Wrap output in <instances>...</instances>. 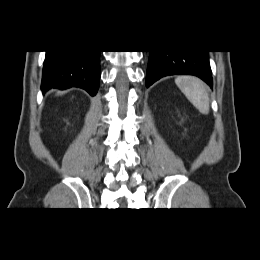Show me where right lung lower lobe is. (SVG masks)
<instances>
[{"instance_id": "1", "label": "right lung lower lobe", "mask_w": 260, "mask_h": 260, "mask_svg": "<svg viewBox=\"0 0 260 260\" xmlns=\"http://www.w3.org/2000/svg\"><path fill=\"white\" fill-rule=\"evenodd\" d=\"M100 51H46L41 89L79 87L97 93L100 79Z\"/></svg>"}]
</instances>
